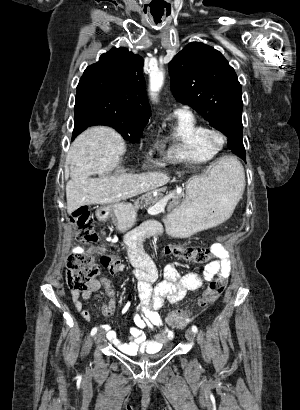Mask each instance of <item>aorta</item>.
<instances>
[{
  "mask_svg": "<svg viewBox=\"0 0 300 410\" xmlns=\"http://www.w3.org/2000/svg\"><path fill=\"white\" fill-rule=\"evenodd\" d=\"M164 82V72L162 70H156L150 73V92L153 98L156 93L161 89Z\"/></svg>",
  "mask_w": 300,
  "mask_h": 410,
  "instance_id": "1",
  "label": "aorta"
}]
</instances>
